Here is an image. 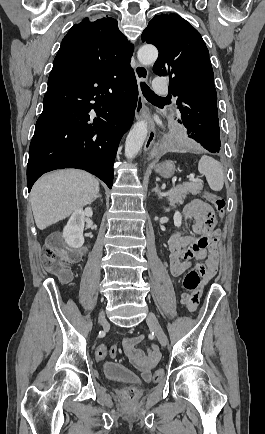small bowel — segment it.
<instances>
[{"instance_id": "c3829d8e", "label": "small bowel", "mask_w": 265, "mask_h": 434, "mask_svg": "<svg viewBox=\"0 0 265 434\" xmlns=\"http://www.w3.org/2000/svg\"><path fill=\"white\" fill-rule=\"evenodd\" d=\"M185 221H192L193 234L183 235L179 230L173 233L168 241L169 269L174 277L181 276L192 266V260H205L207 267H201L199 277L202 280L212 278L217 270V242L220 232L217 229V218L210 205L201 199L191 201L184 210ZM207 274V275H204ZM202 292H193L190 307L196 310L201 302ZM144 335L138 334L123 340L124 351L138 367L144 381H151L150 368L159 360L158 347H141Z\"/></svg>"}]
</instances>
